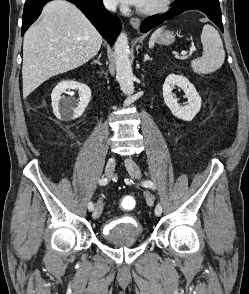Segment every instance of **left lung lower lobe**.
<instances>
[{
    "instance_id": "1",
    "label": "left lung lower lobe",
    "mask_w": 249,
    "mask_h": 294,
    "mask_svg": "<svg viewBox=\"0 0 249 294\" xmlns=\"http://www.w3.org/2000/svg\"><path fill=\"white\" fill-rule=\"evenodd\" d=\"M191 9L204 12L223 32L219 0H176L173 8L168 12L159 16L149 17L143 21L140 30L142 33H145L163 21Z\"/></svg>"
}]
</instances>
